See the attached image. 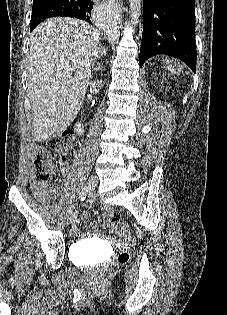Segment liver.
<instances>
[{
	"mask_svg": "<svg viewBox=\"0 0 227 315\" xmlns=\"http://www.w3.org/2000/svg\"><path fill=\"white\" fill-rule=\"evenodd\" d=\"M99 47L98 30L78 19H50L32 32L27 81L36 141L48 140L76 118Z\"/></svg>",
	"mask_w": 227,
	"mask_h": 315,
	"instance_id": "1",
	"label": "liver"
}]
</instances>
